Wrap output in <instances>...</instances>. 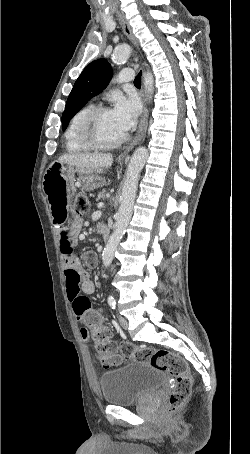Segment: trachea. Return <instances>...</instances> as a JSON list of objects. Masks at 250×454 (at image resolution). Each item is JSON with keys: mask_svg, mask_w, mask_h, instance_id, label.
Instances as JSON below:
<instances>
[{"mask_svg": "<svg viewBox=\"0 0 250 454\" xmlns=\"http://www.w3.org/2000/svg\"><path fill=\"white\" fill-rule=\"evenodd\" d=\"M141 75H142V72L140 71L139 74L134 79V85H136V86L141 85Z\"/></svg>", "mask_w": 250, "mask_h": 454, "instance_id": "obj_1", "label": "trachea"}]
</instances>
